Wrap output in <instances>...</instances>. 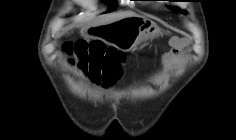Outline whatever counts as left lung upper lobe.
I'll return each instance as SVG.
<instances>
[{"mask_svg":"<svg viewBox=\"0 0 236 140\" xmlns=\"http://www.w3.org/2000/svg\"><path fill=\"white\" fill-rule=\"evenodd\" d=\"M170 10H172V11H174V12H181V13H185L184 11H181V10H179V9H177V8H172V7H168Z\"/></svg>","mask_w":236,"mask_h":140,"instance_id":"obj_1","label":"left lung upper lobe"}]
</instances>
